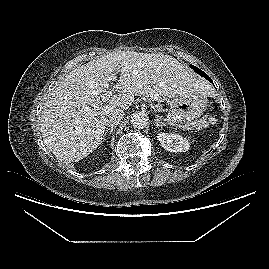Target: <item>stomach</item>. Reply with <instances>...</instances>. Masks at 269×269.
Wrapping results in <instances>:
<instances>
[{
	"instance_id": "obj_1",
	"label": "stomach",
	"mask_w": 269,
	"mask_h": 269,
	"mask_svg": "<svg viewBox=\"0 0 269 269\" xmlns=\"http://www.w3.org/2000/svg\"><path fill=\"white\" fill-rule=\"evenodd\" d=\"M206 107L207 98L203 93L184 94L171 100L168 118L174 123L191 124L202 116Z\"/></svg>"
}]
</instances>
